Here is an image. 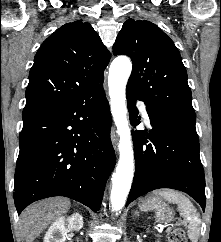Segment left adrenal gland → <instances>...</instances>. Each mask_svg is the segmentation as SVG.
Here are the masks:
<instances>
[{
  "label": "left adrenal gland",
  "mask_w": 221,
  "mask_h": 242,
  "mask_svg": "<svg viewBox=\"0 0 221 242\" xmlns=\"http://www.w3.org/2000/svg\"><path fill=\"white\" fill-rule=\"evenodd\" d=\"M138 214H139L138 211L134 212V216H138Z\"/></svg>",
  "instance_id": "left-adrenal-gland-1"
}]
</instances>
